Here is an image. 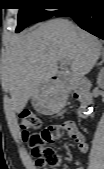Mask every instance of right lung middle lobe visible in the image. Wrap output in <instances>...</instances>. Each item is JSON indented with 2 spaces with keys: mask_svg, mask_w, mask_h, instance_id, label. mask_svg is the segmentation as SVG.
I'll list each match as a JSON object with an SVG mask.
<instances>
[{
  "mask_svg": "<svg viewBox=\"0 0 104 169\" xmlns=\"http://www.w3.org/2000/svg\"><path fill=\"white\" fill-rule=\"evenodd\" d=\"M19 5L18 26L16 32H20L28 25L51 18L59 12H49L45 9L47 6H58L62 9L64 6L74 3L77 0H16ZM49 1H61L51 3Z\"/></svg>",
  "mask_w": 104,
  "mask_h": 169,
  "instance_id": "1",
  "label": "right lung middle lobe"
}]
</instances>
